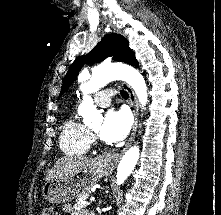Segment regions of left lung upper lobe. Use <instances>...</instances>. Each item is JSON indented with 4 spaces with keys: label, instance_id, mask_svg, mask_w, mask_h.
Instances as JSON below:
<instances>
[{
    "label": "left lung upper lobe",
    "instance_id": "left-lung-upper-lobe-1",
    "mask_svg": "<svg viewBox=\"0 0 221 215\" xmlns=\"http://www.w3.org/2000/svg\"><path fill=\"white\" fill-rule=\"evenodd\" d=\"M109 56H113L114 60L126 61L134 66L138 65L133 51L129 48L128 41L123 36L119 34L105 35L90 53L76 58L72 63L63 80L60 96L74 82L84 64L100 62Z\"/></svg>",
    "mask_w": 221,
    "mask_h": 215
}]
</instances>
